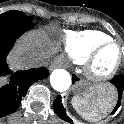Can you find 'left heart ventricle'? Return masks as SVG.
I'll return each instance as SVG.
<instances>
[{
  "label": "left heart ventricle",
  "instance_id": "b2bd125f",
  "mask_svg": "<svg viewBox=\"0 0 124 124\" xmlns=\"http://www.w3.org/2000/svg\"><path fill=\"white\" fill-rule=\"evenodd\" d=\"M119 58V51L116 47L106 48L97 58L94 70L98 74H106L116 65Z\"/></svg>",
  "mask_w": 124,
  "mask_h": 124
}]
</instances>
